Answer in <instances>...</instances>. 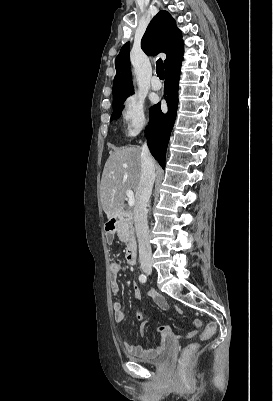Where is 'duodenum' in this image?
I'll return each mask as SVG.
<instances>
[{
    "label": "duodenum",
    "instance_id": "1",
    "mask_svg": "<svg viewBox=\"0 0 273 401\" xmlns=\"http://www.w3.org/2000/svg\"><path fill=\"white\" fill-rule=\"evenodd\" d=\"M132 219L130 213H119L113 217L106 225V230L108 233L112 234L116 231L118 225L122 222H127ZM126 259L130 265H134L137 260V244L135 241H130L126 251Z\"/></svg>",
    "mask_w": 273,
    "mask_h": 401
}]
</instances>
